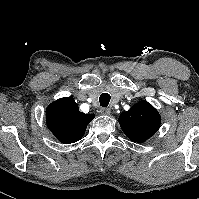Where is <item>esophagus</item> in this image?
I'll return each mask as SVG.
<instances>
[{
    "label": "esophagus",
    "instance_id": "obj_1",
    "mask_svg": "<svg viewBox=\"0 0 199 199\" xmlns=\"http://www.w3.org/2000/svg\"><path fill=\"white\" fill-rule=\"evenodd\" d=\"M100 113L103 114V115H110L111 110H110V108H102L100 110Z\"/></svg>",
    "mask_w": 199,
    "mask_h": 199
}]
</instances>
